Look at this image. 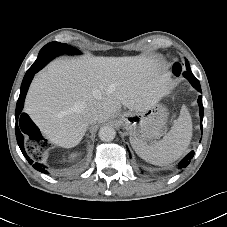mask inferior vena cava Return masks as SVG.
Wrapping results in <instances>:
<instances>
[{"mask_svg": "<svg viewBox=\"0 0 227 227\" xmlns=\"http://www.w3.org/2000/svg\"><path fill=\"white\" fill-rule=\"evenodd\" d=\"M86 116L90 124L95 123L97 121V111L93 108L87 111Z\"/></svg>", "mask_w": 227, "mask_h": 227, "instance_id": "inferior-vena-cava-1", "label": "inferior vena cava"}]
</instances>
